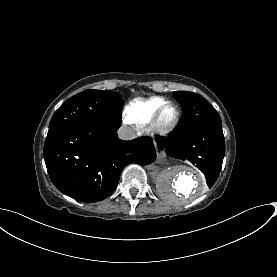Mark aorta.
<instances>
[{
  "label": "aorta",
  "instance_id": "1",
  "mask_svg": "<svg viewBox=\"0 0 277 277\" xmlns=\"http://www.w3.org/2000/svg\"><path fill=\"white\" fill-rule=\"evenodd\" d=\"M157 187L161 196L174 205L185 204L207 191V185L200 171L172 161L160 173Z\"/></svg>",
  "mask_w": 277,
  "mask_h": 277
}]
</instances>
